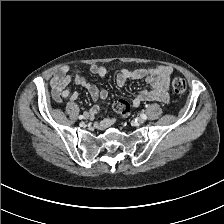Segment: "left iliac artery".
I'll return each instance as SVG.
<instances>
[{
	"label": "left iliac artery",
	"mask_w": 224,
	"mask_h": 224,
	"mask_svg": "<svg viewBox=\"0 0 224 224\" xmlns=\"http://www.w3.org/2000/svg\"><path fill=\"white\" fill-rule=\"evenodd\" d=\"M141 117L145 120L147 119V116L144 113H141Z\"/></svg>",
	"instance_id": "1"
}]
</instances>
